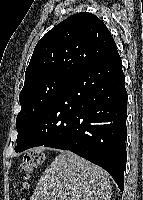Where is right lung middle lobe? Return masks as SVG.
<instances>
[{
  "label": "right lung middle lobe",
  "mask_w": 143,
  "mask_h": 200,
  "mask_svg": "<svg viewBox=\"0 0 143 200\" xmlns=\"http://www.w3.org/2000/svg\"><path fill=\"white\" fill-rule=\"evenodd\" d=\"M70 77L68 75L54 74L24 85L19 95L21 111L16 119L18 131L17 146L14 148L16 152L20 151L35 122Z\"/></svg>",
  "instance_id": "right-lung-middle-lobe-1"
}]
</instances>
